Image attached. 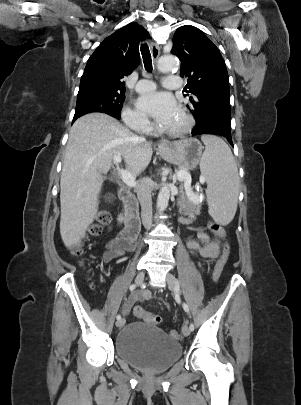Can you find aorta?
<instances>
[{
	"label": "aorta",
	"mask_w": 301,
	"mask_h": 405,
	"mask_svg": "<svg viewBox=\"0 0 301 405\" xmlns=\"http://www.w3.org/2000/svg\"><path fill=\"white\" fill-rule=\"evenodd\" d=\"M158 69L161 72H171L179 69V61L174 56H165L158 61ZM170 199V189L163 186L157 198V208L163 211L167 208Z\"/></svg>",
	"instance_id": "aorta-1"
}]
</instances>
